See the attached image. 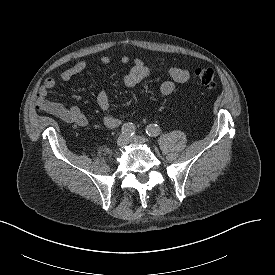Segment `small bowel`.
<instances>
[{
	"instance_id": "c3829d8e",
	"label": "small bowel",
	"mask_w": 275,
	"mask_h": 275,
	"mask_svg": "<svg viewBox=\"0 0 275 275\" xmlns=\"http://www.w3.org/2000/svg\"><path fill=\"white\" fill-rule=\"evenodd\" d=\"M101 63L107 65L111 59L108 55H103L100 59ZM121 63L127 64L132 61L131 69L124 75L123 84L126 87H134L142 80L148 77L151 73V69L143 62L142 59L135 57L132 60L128 56H122L120 58ZM88 66L87 61L81 60L70 68L60 73L62 81H68L74 76L82 73ZM168 79L162 81L160 84V92L164 96L171 95L176 87V84H182L189 80L190 74L187 70L179 67H168L166 69ZM56 85V80L53 77H48L41 86L38 94V106L46 112L58 117L59 119L70 123L74 126H86L88 124V118L75 106L66 107L57 102H51L47 100L46 96L48 92ZM96 101L99 108L102 111V120L106 127L115 129L120 126L121 121L115 117L109 110L110 99L105 90H100L96 94Z\"/></svg>"
}]
</instances>
